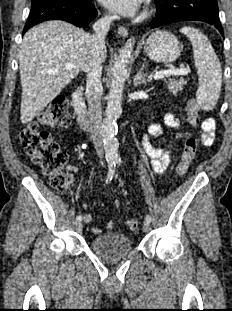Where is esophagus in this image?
<instances>
[{
    "label": "esophagus",
    "mask_w": 232,
    "mask_h": 311,
    "mask_svg": "<svg viewBox=\"0 0 232 311\" xmlns=\"http://www.w3.org/2000/svg\"><path fill=\"white\" fill-rule=\"evenodd\" d=\"M118 35L122 38H126L128 36V29L123 26L119 27Z\"/></svg>",
    "instance_id": "obj_1"
}]
</instances>
